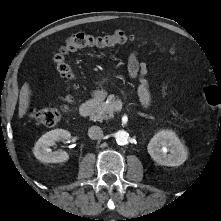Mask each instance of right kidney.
<instances>
[{"label":"right kidney","instance_id":"1","mask_svg":"<svg viewBox=\"0 0 221 221\" xmlns=\"http://www.w3.org/2000/svg\"><path fill=\"white\" fill-rule=\"evenodd\" d=\"M71 134L64 129H54L45 133L35 144L33 153L35 157L44 163H61L69 159L68 153L63 150L51 151L49 148L56 141L68 140Z\"/></svg>","mask_w":221,"mask_h":221}]
</instances>
